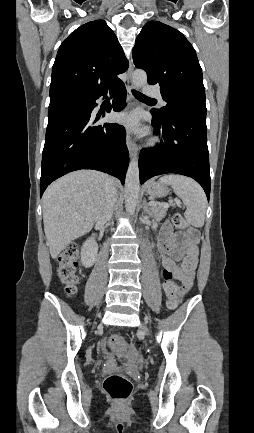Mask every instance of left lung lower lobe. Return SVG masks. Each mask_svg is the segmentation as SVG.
<instances>
[{"mask_svg":"<svg viewBox=\"0 0 254 433\" xmlns=\"http://www.w3.org/2000/svg\"><path fill=\"white\" fill-rule=\"evenodd\" d=\"M155 132L162 136L158 146L140 152V183L165 173L195 179L210 197V166L206 114L179 110L161 118L152 110Z\"/></svg>","mask_w":254,"mask_h":433,"instance_id":"0a47b994","label":"left lung lower lobe"}]
</instances>
